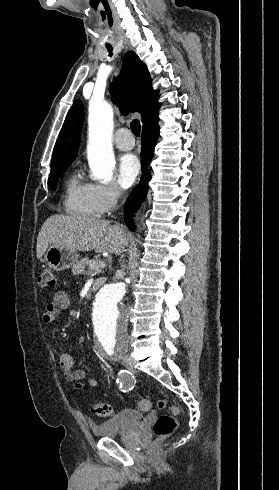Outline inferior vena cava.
Segmentation results:
<instances>
[{
	"instance_id": "inferior-vena-cava-1",
	"label": "inferior vena cava",
	"mask_w": 279,
	"mask_h": 490,
	"mask_svg": "<svg viewBox=\"0 0 279 490\" xmlns=\"http://www.w3.org/2000/svg\"><path fill=\"white\" fill-rule=\"evenodd\" d=\"M121 194H122L121 188H117V196H121Z\"/></svg>"
}]
</instances>
